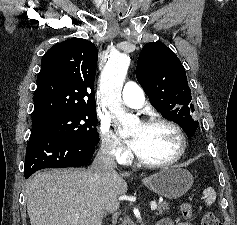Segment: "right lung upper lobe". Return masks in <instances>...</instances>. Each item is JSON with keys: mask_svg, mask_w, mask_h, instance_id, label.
Listing matches in <instances>:
<instances>
[{"mask_svg": "<svg viewBox=\"0 0 237 225\" xmlns=\"http://www.w3.org/2000/svg\"><path fill=\"white\" fill-rule=\"evenodd\" d=\"M98 51L85 39L52 46L41 60L32 121L96 109L94 78Z\"/></svg>", "mask_w": 237, "mask_h": 225, "instance_id": "1", "label": "right lung upper lobe"}]
</instances>
